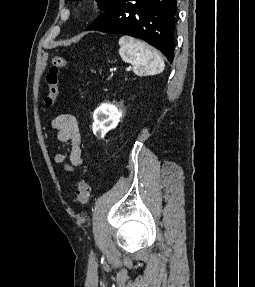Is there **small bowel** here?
Returning a JSON list of instances; mask_svg holds the SVG:
<instances>
[{
    "instance_id": "small-bowel-1",
    "label": "small bowel",
    "mask_w": 255,
    "mask_h": 287,
    "mask_svg": "<svg viewBox=\"0 0 255 287\" xmlns=\"http://www.w3.org/2000/svg\"><path fill=\"white\" fill-rule=\"evenodd\" d=\"M51 126L56 131L58 141L70 143L68 155L64 152L57 153L54 161L63 165L66 170L72 171L74 167L83 163L79 122L72 114H61L52 121ZM67 158L69 163H67Z\"/></svg>"
}]
</instances>
